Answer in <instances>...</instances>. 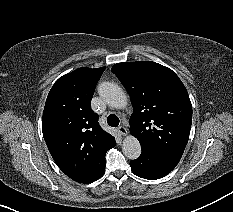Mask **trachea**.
I'll list each match as a JSON object with an SVG mask.
<instances>
[{
    "mask_svg": "<svg viewBox=\"0 0 233 212\" xmlns=\"http://www.w3.org/2000/svg\"><path fill=\"white\" fill-rule=\"evenodd\" d=\"M107 123L112 127H117L119 125V118L116 115L111 114L107 117Z\"/></svg>",
    "mask_w": 233,
    "mask_h": 212,
    "instance_id": "1",
    "label": "trachea"
}]
</instances>
